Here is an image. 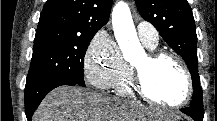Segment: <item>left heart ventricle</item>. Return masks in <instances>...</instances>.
Instances as JSON below:
<instances>
[{
	"instance_id": "b2bd125f",
	"label": "left heart ventricle",
	"mask_w": 217,
	"mask_h": 121,
	"mask_svg": "<svg viewBox=\"0 0 217 121\" xmlns=\"http://www.w3.org/2000/svg\"><path fill=\"white\" fill-rule=\"evenodd\" d=\"M134 65L143 66L147 89L155 98L164 103H175L183 97L186 90L184 75L170 59L148 66L143 57Z\"/></svg>"
}]
</instances>
